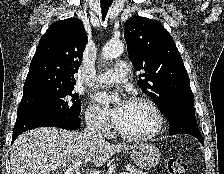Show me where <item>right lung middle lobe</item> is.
I'll use <instances>...</instances> for the list:
<instances>
[{"instance_id": "obj_1", "label": "right lung middle lobe", "mask_w": 224, "mask_h": 174, "mask_svg": "<svg viewBox=\"0 0 224 174\" xmlns=\"http://www.w3.org/2000/svg\"><path fill=\"white\" fill-rule=\"evenodd\" d=\"M72 91L73 88H48L23 94L18 113L37 111L56 117H78L81 101Z\"/></svg>"}]
</instances>
